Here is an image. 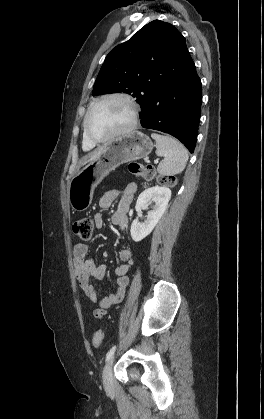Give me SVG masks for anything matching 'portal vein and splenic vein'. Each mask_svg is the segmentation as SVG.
<instances>
[{
  "instance_id": "18ae733b",
  "label": "portal vein and splenic vein",
  "mask_w": 264,
  "mask_h": 419,
  "mask_svg": "<svg viewBox=\"0 0 264 419\" xmlns=\"http://www.w3.org/2000/svg\"><path fill=\"white\" fill-rule=\"evenodd\" d=\"M154 163H155V164H157V163H158V159H156V160L154 161Z\"/></svg>"
}]
</instances>
